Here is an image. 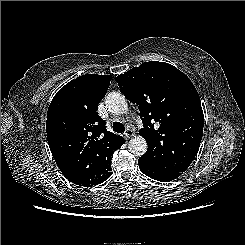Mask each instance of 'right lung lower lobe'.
<instances>
[{
  "instance_id": "1",
  "label": "right lung lower lobe",
  "mask_w": 245,
  "mask_h": 245,
  "mask_svg": "<svg viewBox=\"0 0 245 245\" xmlns=\"http://www.w3.org/2000/svg\"><path fill=\"white\" fill-rule=\"evenodd\" d=\"M124 144V143H123ZM122 145V144H121ZM121 145H118L116 148L113 150H105V149H100L96 151L95 157V169L101 176V182L105 181L112 175V168H111V155L113 152L121 147ZM60 171L64 174V176L70 181L73 182L74 184L79 183V175L78 172L76 171V168L73 166H58ZM100 182V183H101Z\"/></svg>"
}]
</instances>
